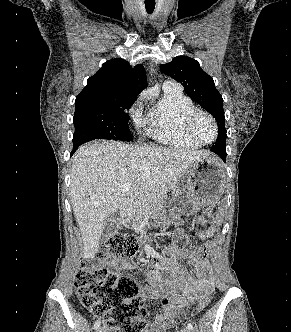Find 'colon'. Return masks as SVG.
Instances as JSON below:
<instances>
[{"mask_svg": "<svg viewBox=\"0 0 291 332\" xmlns=\"http://www.w3.org/2000/svg\"><path fill=\"white\" fill-rule=\"evenodd\" d=\"M212 222L218 224L219 216L212 215ZM212 234V226L204 230V238ZM139 249L137 236L121 232L111 234L105 238L94 262L83 261L75 276L74 285L82 305L95 316L102 317L107 332H149L138 284L103 265L111 258L133 257ZM210 300L211 292L202 294L197 311L203 310Z\"/></svg>", "mask_w": 291, "mask_h": 332, "instance_id": "1", "label": "colon"}]
</instances>
